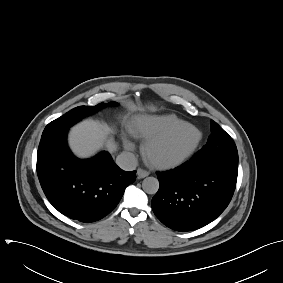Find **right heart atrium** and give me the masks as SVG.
Segmentation results:
<instances>
[{
  "label": "right heart atrium",
  "mask_w": 283,
  "mask_h": 283,
  "mask_svg": "<svg viewBox=\"0 0 283 283\" xmlns=\"http://www.w3.org/2000/svg\"><path fill=\"white\" fill-rule=\"evenodd\" d=\"M125 147L128 150H131L133 148L132 144L130 142H128V141H125Z\"/></svg>",
  "instance_id": "d8ad5b80"
}]
</instances>
